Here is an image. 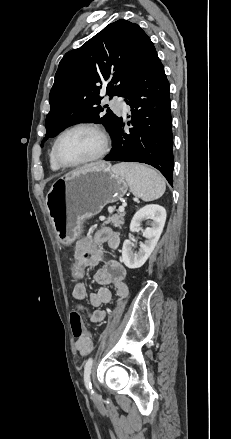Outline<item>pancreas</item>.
<instances>
[{"label":"pancreas","mask_w":231,"mask_h":439,"mask_svg":"<svg viewBox=\"0 0 231 439\" xmlns=\"http://www.w3.org/2000/svg\"><path fill=\"white\" fill-rule=\"evenodd\" d=\"M124 212L116 213L106 218L102 225L112 224L115 227H121L124 224Z\"/></svg>","instance_id":"obj_1"}]
</instances>
